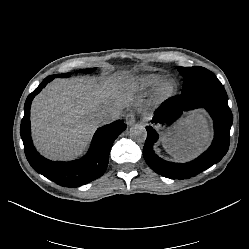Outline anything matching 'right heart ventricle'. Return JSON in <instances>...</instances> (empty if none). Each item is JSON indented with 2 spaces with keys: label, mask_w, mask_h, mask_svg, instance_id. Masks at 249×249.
Returning a JSON list of instances; mask_svg holds the SVG:
<instances>
[{
  "label": "right heart ventricle",
  "mask_w": 249,
  "mask_h": 249,
  "mask_svg": "<svg viewBox=\"0 0 249 249\" xmlns=\"http://www.w3.org/2000/svg\"><path fill=\"white\" fill-rule=\"evenodd\" d=\"M167 77L164 73H149L144 76H142L138 80V85L141 89H147L149 87H152L165 79Z\"/></svg>",
  "instance_id": "e07e8e85"
}]
</instances>
